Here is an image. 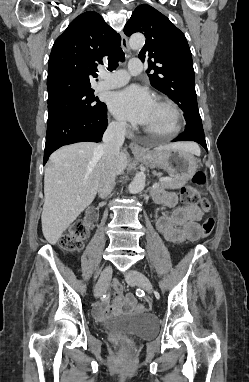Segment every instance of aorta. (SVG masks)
<instances>
[{"mask_svg":"<svg viewBox=\"0 0 249 382\" xmlns=\"http://www.w3.org/2000/svg\"><path fill=\"white\" fill-rule=\"evenodd\" d=\"M130 47L138 50L143 47L145 37L142 34H135L130 37ZM146 176L144 173L138 172L135 174L133 181L129 184L128 190L130 193L135 194L141 192L145 187Z\"/></svg>","mask_w":249,"mask_h":382,"instance_id":"762f6f07","label":"aorta"}]
</instances>
